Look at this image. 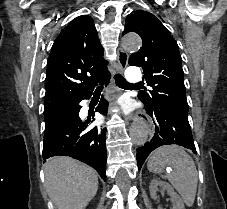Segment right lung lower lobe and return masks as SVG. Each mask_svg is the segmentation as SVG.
<instances>
[{"label": "right lung lower lobe", "instance_id": "obj_1", "mask_svg": "<svg viewBox=\"0 0 227 209\" xmlns=\"http://www.w3.org/2000/svg\"><path fill=\"white\" fill-rule=\"evenodd\" d=\"M105 77L98 83H108ZM88 94L70 103V108L59 117L52 125L45 128L43 143V159L53 156H70L80 160L97 170L103 180H106V129L88 128L89 121H81L79 102L89 99ZM108 102L102 99L96 108L99 113H104Z\"/></svg>", "mask_w": 227, "mask_h": 209}]
</instances>
